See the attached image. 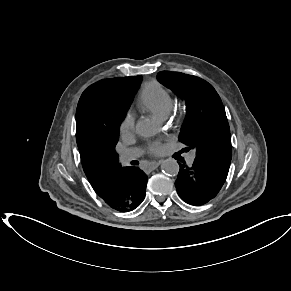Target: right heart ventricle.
I'll return each instance as SVG.
<instances>
[{"mask_svg":"<svg viewBox=\"0 0 291 291\" xmlns=\"http://www.w3.org/2000/svg\"><path fill=\"white\" fill-rule=\"evenodd\" d=\"M140 108L151 112L160 119L166 118L175 105L170 92L159 82H147L139 95Z\"/></svg>","mask_w":291,"mask_h":291,"instance_id":"right-heart-ventricle-1","label":"right heart ventricle"}]
</instances>
